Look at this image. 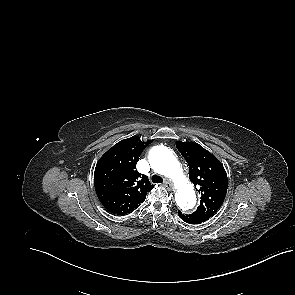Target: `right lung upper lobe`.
<instances>
[{
    "label": "right lung upper lobe",
    "mask_w": 295,
    "mask_h": 295,
    "mask_svg": "<svg viewBox=\"0 0 295 295\" xmlns=\"http://www.w3.org/2000/svg\"><path fill=\"white\" fill-rule=\"evenodd\" d=\"M152 141L142 142L137 137L124 139L98 161L94 173L95 190L110 212L117 215L132 212L154 187L146 175L135 169L141 152Z\"/></svg>",
    "instance_id": "1"
}]
</instances>
